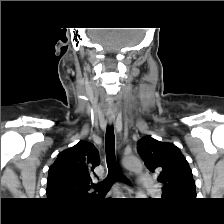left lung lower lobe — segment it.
Segmentation results:
<instances>
[{
	"label": "left lung lower lobe",
	"instance_id": "obj_1",
	"mask_svg": "<svg viewBox=\"0 0 224 224\" xmlns=\"http://www.w3.org/2000/svg\"><path fill=\"white\" fill-rule=\"evenodd\" d=\"M166 199H174V198H166Z\"/></svg>",
	"mask_w": 224,
	"mask_h": 224
}]
</instances>
